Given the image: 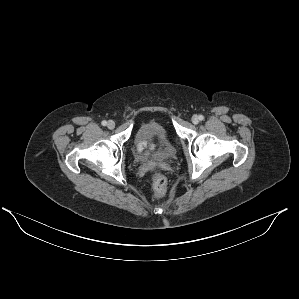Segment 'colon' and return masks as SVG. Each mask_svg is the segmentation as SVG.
I'll return each instance as SVG.
<instances>
[{
    "label": "colon",
    "mask_w": 299,
    "mask_h": 299,
    "mask_svg": "<svg viewBox=\"0 0 299 299\" xmlns=\"http://www.w3.org/2000/svg\"><path fill=\"white\" fill-rule=\"evenodd\" d=\"M152 196L154 198L163 197L167 192V179L162 174H154L152 176Z\"/></svg>",
    "instance_id": "obj_1"
}]
</instances>
